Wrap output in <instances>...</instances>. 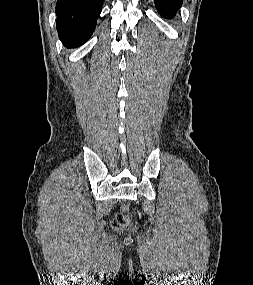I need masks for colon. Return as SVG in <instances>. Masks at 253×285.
<instances>
[{"mask_svg":"<svg viewBox=\"0 0 253 285\" xmlns=\"http://www.w3.org/2000/svg\"><path fill=\"white\" fill-rule=\"evenodd\" d=\"M130 223V213L127 206H123L121 211L116 214L112 220V227L115 230L122 231L128 227Z\"/></svg>","mask_w":253,"mask_h":285,"instance_id":"obj_1","label":"colon"}]
</instances>
